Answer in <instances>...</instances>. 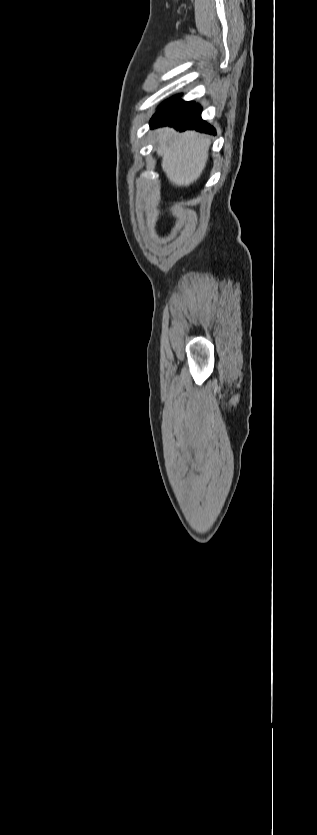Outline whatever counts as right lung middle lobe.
I'll return each mask as SVG.
<instances>
[{"label": "right lung middle lobe", "instance_id": "dd1d6c3e", "mask_svg": "<svg viewBox=\"0 0 317 835\" xmlns=\"http://www.w3.org/2000/svg\"><path fill=\"white\" fill-rule=\"evenodd\" d=\"M177 97H179V96L173 97V98H171V99H169V100L165 101L164 103H162V105H161L160 107H162V106H164V105H166V104L170 103L171 101H173V100H174L175 98H177Z\"/></svg>", "mask_w": 317, "mask_h": 835}]
</instances>
